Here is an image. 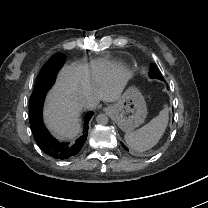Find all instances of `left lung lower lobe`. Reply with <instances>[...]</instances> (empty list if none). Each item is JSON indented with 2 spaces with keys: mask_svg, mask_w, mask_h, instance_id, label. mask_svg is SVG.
<instances>
[{
  "mask_svg": "<svg viewBox=\"0 0 208 208\" xmlns=\"http://www.w3.org/2000/svg\"><path fill=\"white\" fill-rule=\"evenodd\" d=\"M122 146L128 151V149L125 147V145L124 144H122Z\"/></svg>",
  "mask_w": 208,
  "mask_h": 208,
  "instance_id": "left-lung-lower-lobe-1",
  "label": "left lung lower lobe"
}]
</instances>
